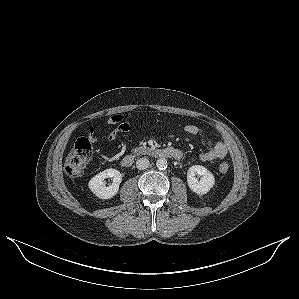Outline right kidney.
Listing matches in <instances>:
<instances>
[{"label": "right kidney", "instance_id": "ca27d5eb", "mask_svg": "<svg viewBox=\"0 0 299 299\" xmlns=\"http://www.w3.org/2000/svg\"><path fill=\"white\" fill-rule=\"evenodd\" d=\"M112 179V184L106 187L104 180ZM122 181L121 173L116 169H106L95 175L88 183L89 189L100 199H110L119 191V185Z\"/></svg>", "mask_w": 299, "mask_h": 299}]
</instances>
